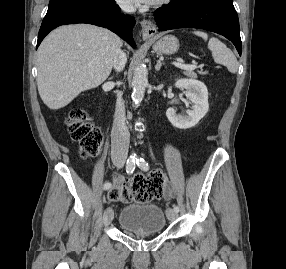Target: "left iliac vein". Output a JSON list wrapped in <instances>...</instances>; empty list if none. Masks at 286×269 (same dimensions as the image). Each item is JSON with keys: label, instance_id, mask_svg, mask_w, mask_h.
Instances as JSON below:
<instances>
[{"label": "left iliac vein", "instance_id": "left-iliac-vein-1", "mask_svg": "<svg viewBox=\"0 0 286 269\" xmlns=\"http://www.w3.org/2000/svg\"><path fill=\"white\" fill-rule=\"evenodd\" d=\"M166 214H167V218L170 220V221H173L176 219L177 217V212L174 211L172 208H168L166 210Z\"/></svg>", "mask_w": 286, "mask_h": 269}]
</instances>
